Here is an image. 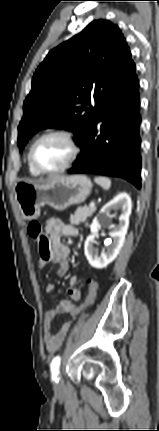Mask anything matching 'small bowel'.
Returning <instances> with one entry per match:
<instances>
[{
    "mask_svg": "<svg viewBox=\"0 0 159 431\" xmlns=\"http://www.w3.org/2000/svg\"><path fill=\"white\" fill-rule=\"evenodd\" d=\"M77 235L78 230L74 226L65 224L59 219L47 220L41 240L36 239L40 253L38 267L43 269L49 264H54L57 266V275L59 277L65 276L69 270L68 257L70 249L62 242L61 237H76ZM77 281V276H71L67 290L70 299L74 301H80L86 297L76 288ZM54 289L53 284H48L46 287L47 293H52ZM76 307L70 300H61L46 313L44 344L49 353L55 352L61 346L71 325V321H66L57 333H52V321L58 314L70 315V310H75Z\"/></svg>",
    "mask_w": 159,
    "mask_h": 431,
    "instance_id": "small-bowel-1",
    "label": "small bowel"
}]
</instances>
